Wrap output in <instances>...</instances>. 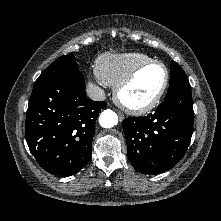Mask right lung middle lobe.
Instances as JSON below:
<instances>
[{
  "mask_svg": "<svg viewBox=\"0 0 221 221\" xmlns=\"http://www.w3.org/2000/svg\"><path fill=\"white\" fill-rule=\"evenodd\" d=\"M70 80L84 84V77L78 69L76 58L73 55H64L55 60L47 67L34 83L31 96H35L52 84L61 81Z\"/></svg>",
  "mask_w": 221,
  "mask_h": 221,
  "instance_id": "dd1d6c3e",
  "label": "right lung middle lobe"
}]
</instances>
